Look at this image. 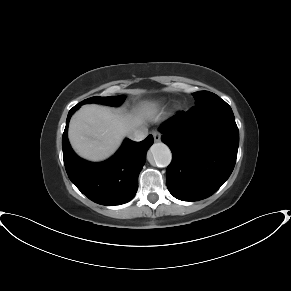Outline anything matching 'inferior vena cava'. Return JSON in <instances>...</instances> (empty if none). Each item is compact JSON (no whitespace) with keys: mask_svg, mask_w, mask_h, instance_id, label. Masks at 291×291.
Segmentation results:
<instances>
[{"mask_svg":"<svg viewBox=\"0 0 291 291\" xmlns=\"http://www.w3.org/2000/svg\"><path fill=\"white\" fill-rule=\"evenodd\" d=\"M148 135V129L145 126L139 127L128 134L129 138L133 141H142Z\"/></svg>","mask_w":291,"mask_h":291,"instance_id":"602c4592","label":"inferior vena cava"}]
</instances>
